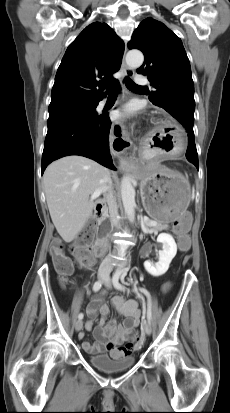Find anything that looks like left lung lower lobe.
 Masks as SVG:
<instances>
[{
  "label": "left lung lower lobe",
  "mask_w": 230,
  "mask_h": 413,
  "mask_svg": "<svg viewBox=\"0 0 230 413\" xmlns=\"http://www.w3.org/2000/svg\"><path fill=\"white\" fill-rule=\"evenodd\" d=\"M187 134H188V148H187V152H186V158L189 162L194 164L197 169H199L198 154H197L196 145H195V142H194L193 129L189 128L187 130Z\"/></svg>",
  "instance_id": "obj_1"
}]
</instances>
